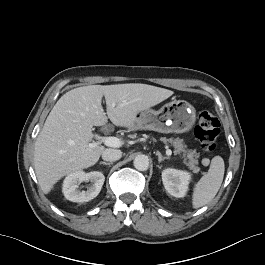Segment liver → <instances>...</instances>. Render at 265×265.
<instances>
[{
	"instance_id": "1",
	"label": "liver",
	"mask_w": 265,
	"mask_h": 265,
	"mask_svg": "<svg viewBox=\"0 0 265 265\" xmlns=\"http://www.w3.org/2000/svg\"><path fill=\"white\" fill-rule=\"evenodd\" d=\"M173 93L139 83L89 85L65 93L52 108L35 142L34 169L42 191L48 194L65 175L97 163L105 148L89 147L93 126H103L109 118L115 126L134 129L139 112ZM103 96L107 113L101 105Z\"/></svg>"
}]
</instances>
